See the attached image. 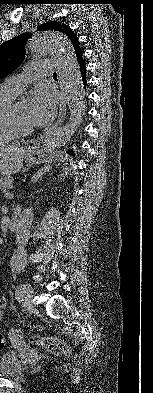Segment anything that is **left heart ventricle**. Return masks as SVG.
<instances>
[{
	"label": "left heart ventricle",
	"instance_id": "1",
	"mask_svg": "<svg viewBox=\"0 0 153 393\" xmlns=\"http://www.w3.org/2000/svg\"><path fill=\"white\" fill-rule=\"evenodd\" d=\"M29 112H30V105H29V102H27V101H21L16 106V115H17L20 123L24 127L31 126L30 121H29Z\"/></svg>",
	"mask_w": 153,
	"mask_h": 393
}]
</instances>
